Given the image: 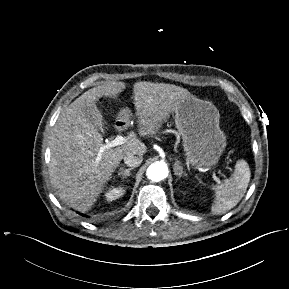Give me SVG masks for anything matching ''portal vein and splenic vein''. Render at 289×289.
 I'll return each instance as SVG.
<instances>
[{
    "instance_id": "obj_1",
    "label": "portal vein and splenic vein",
    "mask_w": 289,
    "mask_h": 289,
    "mask_svg": "<svg viewBox=\"0 0 289 289\" xmlns=\"http://www.w3.org/2000/svg\"><path fill=\"white\" fill-rule=\"evenodd\" d=\"M127 141L126 137H123L121 135H117L116 138L112 141L107 142L106 144H104L100 150V152H103L104 149H108V148H113L116 147L118 145H122ZM101 159V155L98 154L97 160ZM217 183H220V179L218 177H215L214 179Z\"/></svg>"
}]
</instances>
